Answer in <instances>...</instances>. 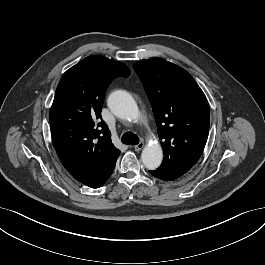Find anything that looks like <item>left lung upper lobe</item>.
<instances>
[{"instance_id": "1", "label": "left lung upper lobe", "mask_w": 265, "mask_h": 265, "mask_svg": "<svg viewBox=\"0 0 265 265\" xmlns=\"http://www.w3.org/2000/svg\"><path fill=\"white\" fill-rule=\"evenodd\" d=\"M151 102L164 152L156 170L168 180L188 172L201 156L209 133V105L183 68L152 58L134 64Z\"/></svg>"}]
</instances>
